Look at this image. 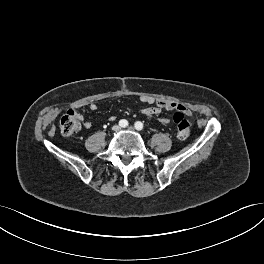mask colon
<instances>
[{
    "label": "colon",
    "instance_id": "1",
    "mask_svg": "<svg viewBox=\"0 0 264 264\" xmlns=\"http://www.w3.org/2000/svg\"><path fill=\"white\" fill-rule=\"evenodd\" d=\"M173 121L176 125L177 135L185 139L190 135L192 121L185 116L184 110L180 107L173 114ZM81 128L79 116L73 109L67 110L60 120V130L64 136H71Z\"/></svg>",
    "mask_w": 264,
    "mask_h": 264
}]
</instances>
